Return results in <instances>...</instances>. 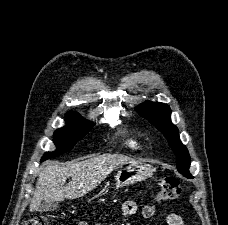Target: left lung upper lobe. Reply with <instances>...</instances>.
I'll return each instance as SVG.
<instances>
[{
	"label": "left lung upper lobe",
	"instance_id": "5c2ea615",
	"mask_svg": "<svg viewBox=\"0 0 228 225\" xmlns=\"http://www.w3.org/2000/svg\"><path fill=\"white\" fill-rule=\"evenodd\" d=\"M136 111L164 134L177 156L178 171L187 178H193L189 172L190 156L187 148L180 141L177 127L171 123V110L169 106L164 103L146 101L136 107Z\"/></svg>",
	"mask_w": 228,
	"mask_h": 225
}]
</instances>
